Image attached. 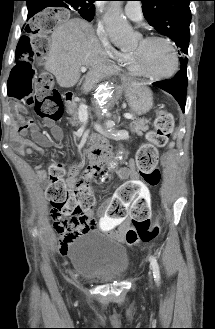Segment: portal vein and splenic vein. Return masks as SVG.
Returning <instances> with one entry per match:
<instances>
[{"label": "portal vein and splenic vein", "instance_id": "obj_1", "mask_svg": "<svg viewBox=\"0 0 215 329\" xmlns=\"http://www.w3.org/2000/svg\"><path fill=\"white\" fill-rule=\"evenodd\" d=\"M86 70H87V68H86L85 66H82V67L80 68V71H81V72H86ZM78 112H79V118H80V120H81L82 122L86 123L87 120H88V111H87V107H86V105L83 104V103H81V104L79 105ZM124 117H125L126 119H133V116H132L131 114H128V113L124 114Z\"/></svg>", "mask_w": 215, "mask_h": 329}]
</instances>
